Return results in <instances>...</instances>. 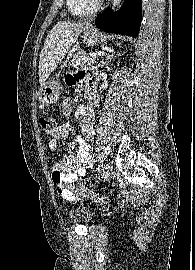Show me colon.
Segmentation results:
<instances>
[{
  "label": "colon",
  "instance_id": "1",
  "mask_svg": "<svg viewBox=\"0 0 195 270\" xmlns=\"http://www.w3.org/2000/svg\"><path fill=\"white\" fill-rule=\"evenodd\" d=\"M39 122L42 129L47 133H50L57 125V121L54 117H41ZM74 192L80 197H89L95 202H99L103 204L108 203V199L106 197H103L99 194H96L90 191L88 188H86L83 185L75 186Z\"/></svg>",
  "mask_w": 195,
  "mask_h": 270
}]
</instances>
